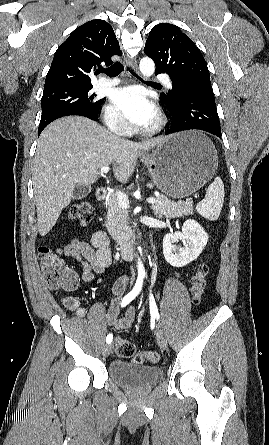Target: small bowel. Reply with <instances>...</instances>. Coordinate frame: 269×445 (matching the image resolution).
Segmentation results:
<instances>
[{
	"mask_svg": "<svg viewBox=\"0 0 269 445\" xmlns=\"http://www.w3.org/2000/svg\"><path fill=\"white\" fill-rule=\"evenodd\" d=\"M57 255L66 256L75 259L82 268V280L85 283H92L95 281L111 264L112 256L109 249V241L106 234L102 231L95 232L91 237V242L88 243L81 239H72L65 246L56 250ZM67 273L78 282V276L71 269L66 268ZM129 283V278L126 276L120 277L113 285L111 300L106 321L109 325L117 329L129 328L136 315L134 307L128 308L123 317H119L120 310V296L125 287ZM65 307L73 312L76 316L83 318L86 315V310L83 308L78 299L71 296L63 297Z\"/></svg>",
	"mask_w": 269,
	"mask_h": 445,
	"instance_id": "1",
	"label": "small bowel"
}]
</instances>
